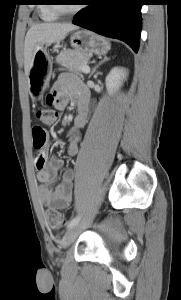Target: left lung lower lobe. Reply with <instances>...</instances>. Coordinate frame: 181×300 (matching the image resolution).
I'll use <instances>...</instances> for the list:
<instances>
[{"mask_svg": "<svg viewBox=\"0 0 181 300\" xmlns=\"http://www.w3.org/2000/svg\"><path fill=\"white\" fill-rule=\"evenodd\" d=\"M73 23L101 35L126 42L135 52L141 33L143 0H87Z\"/></svg>", "mask_w": 181, "mask_h": 300, "instance_id": "0a47b994", "label": "left lung lower lobe"}]
</instances>
